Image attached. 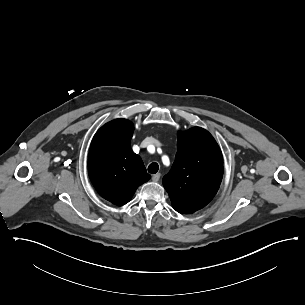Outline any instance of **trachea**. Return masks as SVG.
I'll use <instances>...</instances> for the list:
<instances>
[{"mask_svg": "<svg viewBox=\"0 0 305 305\" xmlns=\"http://www.w3.org/2000/svg\"><path fill=\"white\" fill-rule=\"evenodd\" d=\"M158 169H159V166L156 162H153L148 166V172L152 173V174L157 173Z\"/></svg>", "mask_w": 305, "mask_h": 305, "instance_id": "3493384b", "label": "trachea"}]
</instances>
